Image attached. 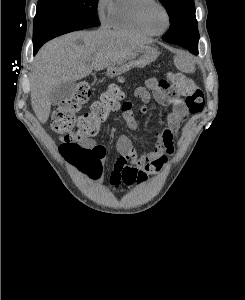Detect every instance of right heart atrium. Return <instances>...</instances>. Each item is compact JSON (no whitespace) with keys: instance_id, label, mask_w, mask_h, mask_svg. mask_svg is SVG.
Instances as JSON below:
<instances>
[{"instance_id":"right-heart-atrium-1","label":"right heart atrium","mask_w":245,"mask_h":300,"mask_svg":"<svg viewBox=\"0 0 245 300\" xmlns=\"http://www.w3.org/2000/svg\"><path fill=\"white\" fill-rule=\"evenodd\" d=\"M112 8V0H97L96 1V14L101 23L106 24L109 21V16Z\"/></svg>"}]
</instances>
